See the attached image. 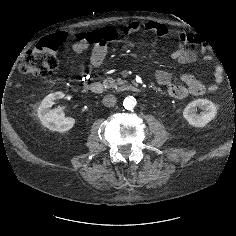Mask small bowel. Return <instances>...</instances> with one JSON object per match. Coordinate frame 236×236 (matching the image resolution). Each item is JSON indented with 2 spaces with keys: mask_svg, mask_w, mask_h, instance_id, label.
Listing matches in <instances>:
<instances>
[{
  "mask_svg": "<svg viewBox=\"0 0 236 236\" xmlns=\"http://www.w3.org/2000/svg\"><path fill=\"white\" fill-rule=\"evenodd\" d=\"M144 31L155 34L159 37H167L170 34L169 28L163 24L155 21H133L119 28L118 34L120 36H127L129 34ZM62 41L66 38L65 34H57ZM89 48V42L80 38L77 41L66 46L65 53L81 54ZM108 46L106 43H99L92 49L89 59L81 63V67L85 69H93L99 67L107 56ZM172 59L182 65H187L194 62L198 57V50L195 47V35L193 33L182 32L177 34L176 49L171 55ZM207 58V57H205ZM156 81L166 87L168 96L183 100L190 95H202L207 90L214 92L218 90L222 80V70L217 68L214 72L213 81L206 85L200 78L191 74L183 73L180 76L182 84H175L172 82V74L168 71L158 70L155 74Z\"/></svg>",
  "mask_w": 236,
  "mask_h": 236,
  "instance_id": "small-bowel-1",
  "label": "small bowel"
}]
</instances>
